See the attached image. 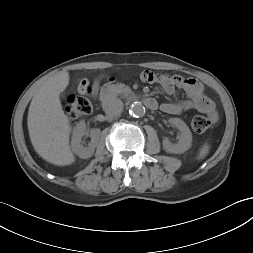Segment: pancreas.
<instances>
[{"label": "pancreas", "mask_w": 253, "mask_h": 253, "mask_svg": "<svg viewBox=\"0 0 253 253\" xmlns=\"http://www.w3.org/2000/svg\"><path fill=\"white\" fill-rule=\"evenodd\" d=\"M117 92L120 94L127 95L129 93H132V90L128 86H125L124 84H119L117 86Z\"/></svg>", "instance_id": "pancreas-1"}]
</instances>
